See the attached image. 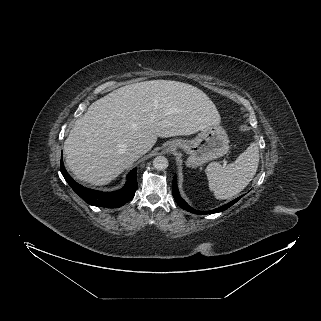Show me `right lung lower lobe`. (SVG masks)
<instances>
[{
  "label": "right lung lower lobe",
  "mask_w": 321,
  "mask_h": 321,
  "mask_svg": "<svg viewBox=\"0 0 321 321\" xmlns=\"http://www.w3.org/2000/svg\"><path fill=\"white\" fill-rule=\"evenodd\" d=\"M136 168L127 175L125 186L114 192H101L85 188L67 173L61 158V173L70 187L88 204L97 207L117 208L130 201L137 190Z\"/></svg>",
  "instance_id": "right-lung-lower-lobe-1"
}]
</instances>
